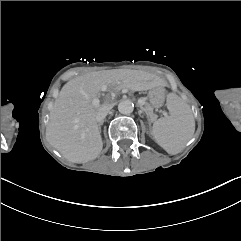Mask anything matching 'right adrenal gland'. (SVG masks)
Wrapping results in <instances>:
<instances>
[{
	"instance_id": "right-adrenal-gland-1",
	"label": "right adrenal gland",
	"mask_w": 241,
	"mask_h": 241,
	"mask_svg": "<svg viewBox=\"0 0 241 241\" xmlns=\"http://www.w3.org/2000/svg\"><path fill=\"white\" fill-rule=\"evenodd\" d=\"M103 123H99L98 124V128H99V130L101 131V125H102Z\"/></svg>"
}]
</instances>
